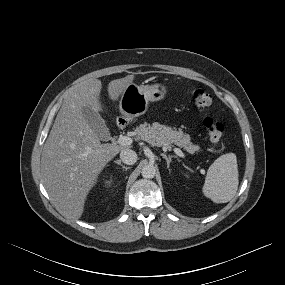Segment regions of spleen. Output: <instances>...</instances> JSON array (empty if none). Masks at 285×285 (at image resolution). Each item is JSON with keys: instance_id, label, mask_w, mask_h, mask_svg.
I'll list each match as a JSON object with an SVG mask.
<instances>
[{"instance_id": "spleen-1", "label": "spleen", "mask_w": 285, "mask_h": 285, "mask_svg": "<svg viewBox=\"0 0 285 285\" xmlns=\"http://www.w3.org/2000/svg\"><path fill=\"white\" fill-rule=\"evenodd\" d=\"M238 184L236 155L227 153L217 158L209 167L203 193L215 203H226L235 196Z\"/></svg>"}]
</instances>
